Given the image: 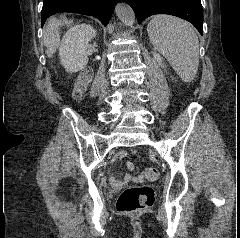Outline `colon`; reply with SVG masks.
I'll list each match as a JSON object with an SVG mask.
<instances>
[{
	"label": "colon",
	"instance_id": "colon-1",
	"mask_svg": "<svg viewBox=\"0 0 240 238\" xmlns=\"http://www.w3.org/2000/svg\"><path fill=\"white\" fill-rule=\"evenodd\" d=\"M93 71L87 67L81 70L73 84V96L81 99L85 95L87 88L92 80ZM159 176V171L155 167H149L144 172L135 177L138 180H155ZM154 202V191L152 188L134 187L125 189L118 197L116 208L121 213H138L150 207Z\"/></svg>",
	"mask_w": 240,
	"mask_h": 238
}]
</instances>
